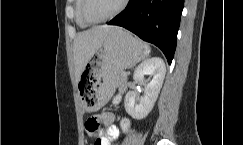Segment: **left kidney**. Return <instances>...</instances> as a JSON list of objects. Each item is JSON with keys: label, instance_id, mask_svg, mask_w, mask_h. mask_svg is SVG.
I'll return each instance as SVG.
<instances>
[{"label": "left kidney", "instance_id": "obj_1", "mask_svg": "<svg viewBox=\"0 0 243 145\" xmlns=\"http://www.w3.org/2000/svg\"><path fill=\"white\" fill-rule=\"evenodd\" d=\"M166 74V66L160 57H153L143 61L134 71L133 79L145 84L144 95L140 98L136 93L129 91L124 100L126 112L134 119L145 118L153 109L158 98ZM145 75H152L149 83Z\"/></svg>", "mask_w": 243, "mask_h": 145}]
</instances>
